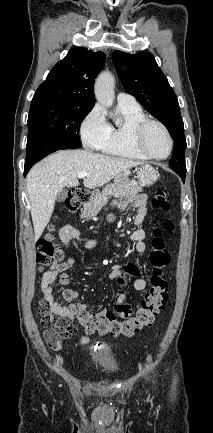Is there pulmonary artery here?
I'll list each match as a JSON object with an SVG mask.
<instances>
[{
  "label": "pulmonary artery",
  "mask_w": 213,
  "mask_h": 433,
  "mask_svg": "<svg viewBox=\"0 0 213 433\" xmlns=\"http://www.w3.org/2000/svg\"><path fill=\"white\" fill-rule=\"evenodd\" d=\"M117 101H118V105H128V106L138 105L136 99L132 95L124 92L118 94Z\"/></svg>",
  "instance_id": "1"
}]
</instances>
